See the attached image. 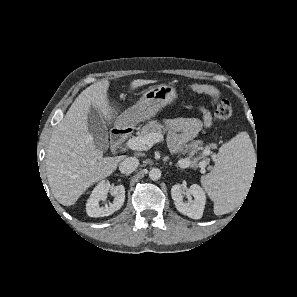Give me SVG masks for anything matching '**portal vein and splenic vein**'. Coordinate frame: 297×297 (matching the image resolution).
I'll list each match as a JSON object with an SVG mask.
<instances>
[{
    "label": "portal vein and splenic vein",
    "instance_id": "18ae733b",
    "mask_svg": "<svg viewBox=\"0 0 297 297\" xmlns=\"http://www.w3.org/2000/svg\"><path fill=\"white\" fill-rule=\"evenodd\" d=\"M163 140V136L157 133L148 134L145 136L132 137L127 141V147L131 150L146 151L149 150L155 143ZM180 163L190 164L189 161L180 160ZM202 168L204 164L202 163Z\"/></svg>",
    "mask_w": 297,
    "mask_h": 297
}]
</instances>
